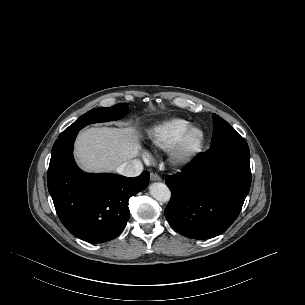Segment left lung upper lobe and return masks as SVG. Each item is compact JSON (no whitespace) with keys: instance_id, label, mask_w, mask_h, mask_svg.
<instances>
[{"instance_id":"1","label":"left lung upper lobe","mask_w":305,"mask_h":305,"mask_svg":"<svg viewBox=\"0 0 305 305\" xmlns=\"http://www.w3.org/2000/svg\"><path fill=\"white\" fill-rule=\"evenodd\" d=\"M213 137L208 152L237 149L249 152V147L242 136L217 114H213Z\"/></svg>"}]
</instances>
